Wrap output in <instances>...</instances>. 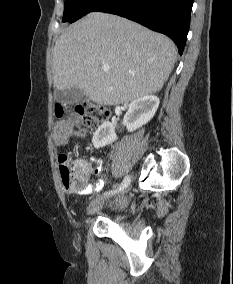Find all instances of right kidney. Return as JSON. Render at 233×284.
Listing matches in <instances>:
<instances>
[{
	"instance_id": "right-kidney-1",
	"label": "right kidney",
	"mask_w": 233,
	"mask_h": 284,
	"mask_svg": "<svg viewBox=\"0 0 233 284\" xmlns=\"http://www.w3.org/2000/svg\"><path fill=\"white\" fill-rule=\"evenodd\" d=\"M159 103V98L154 95L143 96L132 101L123 119L128 132H132L148 123L155 115ZM116 139L113 124L104 122L94 133L92 143L98 149L111 144Z\"/></svg>"
}]
</instances>
